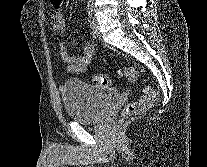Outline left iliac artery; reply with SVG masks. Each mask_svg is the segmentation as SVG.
I'll use <instances>...</instances> for the list:
<instances>
[{"label": "left iliac artery", "instance_id": "obj_1", "mask_svg": "<svg viewBox=\"0 0 207 167\" xmlns=\"http://www.w3.org/2000/svg\"><path fill=\"white\" fill-rule=\"evenodd\" d=\"M87 10H88V15L90 17H92L93 11H94V4H93V2L91 0L88 2Z\"/></svg>", "mask_w": 207, "mask_h": 167}]
</instances>
